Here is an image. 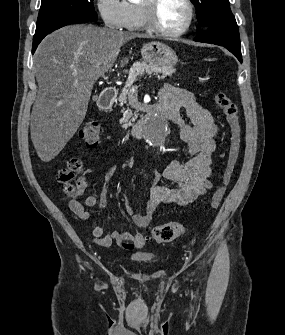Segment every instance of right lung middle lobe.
<instances>
[{
	"instance_id": "obj_1",
	"label": "right lung middle lobe",
	"mask_w": 285,
	"mask_h": 335,
	"mask_svg": "<svg viewBox=\"0 0 285 335\" xmlns=\"http://www.w3.org/2000/svg\"><path fill=\"white\" fill-rule=\"evenodd\" d=\"M36 28L66 17L97 20L93 0H41Z\"/></svg>"
}]
</instances>
